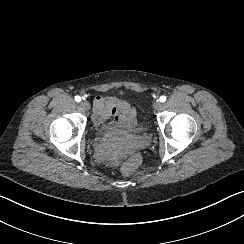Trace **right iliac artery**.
<instances>
[{"label":"right iliac artery","instance_id":"1","mask_svg":"<svg viewBox=\"0 0 244 244\" xmlns=\"http://www.w3.org/2000/svg\"><path fill=\"white\" fill-rule=\"evenodd\" d=\"M75 101L76 102H80L81 101V97L80 96H75Z\"/></svg>","mask_w":244,"mask_h":244}]
</instances>
